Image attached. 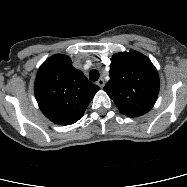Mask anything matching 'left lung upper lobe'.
Returning a JSON list of instances; mask_svg holds the SVG:
<instances>
[{"label": "left lung upper lobe", "mask_w": 187, "mask_h": 187, "mask_svg": "<svg viewBox=\"0 0 187 187\" xmlns=\"http://www.w3.org/2000/svg\"><path fill=\"white\" fill-rule=\"evenodd\" d=\"M110 80L104 91L120 112L138 117L154 106L159 93V76L152 62L141 53L130 50L113 55Z\"/></svg>", "instance_id": "left-lung-upper-lobe-1"}]
</instances>
